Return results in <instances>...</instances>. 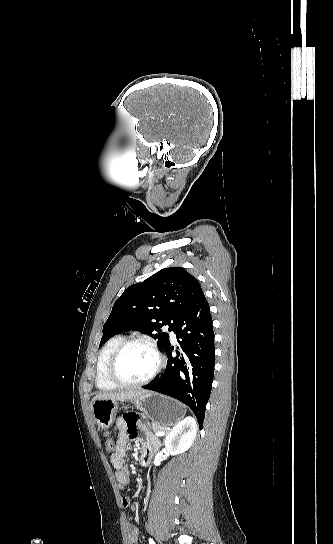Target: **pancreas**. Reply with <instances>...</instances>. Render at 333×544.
<instances>
[{
	"label": "pancreas",
	"instance_id": "cf45deb5",
	"mask_svg": "<svg viewBox=\"0 0 333 544\" xmlns=\"http://www.w3.org/2000/svg\"><path fill=\"white\" fill-rule=\"evenodd\" d=\"M145 432L147 434H151V433H157V432H161V431H164L166 432L165 428L157 423H152L151 425H149L148 427H145L144 428Z\"/></svg>",
	"mask_w": 333,
	"mask_h": 544
}]
</instances>
